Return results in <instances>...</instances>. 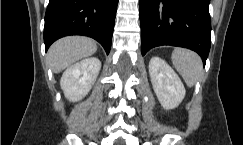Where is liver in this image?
Masks as SVG:
<instances>
[{"label":"liver","instance_id":"6515ba94","mask_svg":"<svg viewBox=\"0 0 243 145\" xmlns=\"http://www.w3.org/2000/svg\"><path fill=\"white\" fill-rule=\"evenodd\" d=\"M97 50L95 41L87 37L62 38L50 47L48 59L54 73H60L76 61L93 55Z\"/></svg>","mask_w":243,"mask_h":145}]
</instances>
